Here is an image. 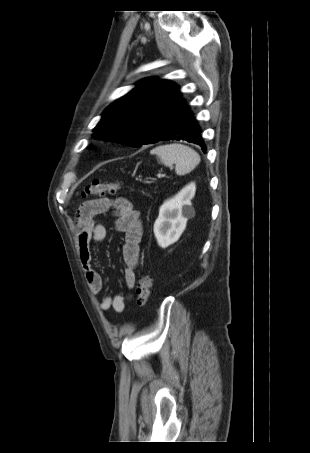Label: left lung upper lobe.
<instances>
[{
	"instance_id": "obj_1",
	"label": "left lung upper lobe",
	"mask_w": 310,
	"mask_h": 453,
	"mask_svg": "<svg viewBox=\"0 0 310 453\" xmlns=\"http://www.w3.org/2000/svg\"><path fill=\"white\" fill-rule=\"evenodd\" d=\"M181 99L179 87L169 80H142L103 112L93 135L133 147L159 142Z\"/></svg>"
}]
</instances>
